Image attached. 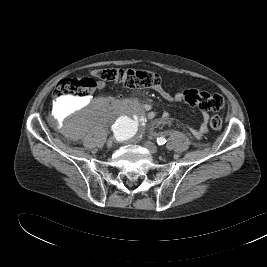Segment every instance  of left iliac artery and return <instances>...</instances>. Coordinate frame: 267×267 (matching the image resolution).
Returning a JSON list of instances; mask_svg holds the SVG:
<instances>
[{
    "label": "left iliac artery",
    "instance_id": "44dca946",
    "mask_svg": "<svg viewBox=\"0 0 267 267\" xmlns=\"http://www.w3.org/2000/svg\"><path fill=\"white\" fill-rule=\"evenodd\" d=\"M156 142L158 145H163L166 143V138L165 137H158Z\"/></svg>",
    "mask_w": 267,
    "mask_h": 267
}]
</instances>
